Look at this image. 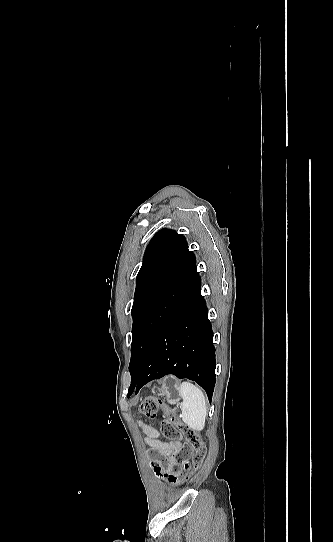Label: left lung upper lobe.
Listing matches in <instances>:
<instances>
[{
    "label": "left lung upper lobe",
    "mask_w": 333,
    "mask_h": 542,
    "mask_svg": "<svg viewBox=\"0 0 333 542\" xmlns=\"http://www.w3.org/2000/svg\"><path fill=\"white\" fill-rule=\"evenodd\" d=\"M199 278L195 255L189 251L185 237L171 229L158 231L146 248L136 279L131 378L139 373L158 331Z\"/></svg>",
    "instance_id": "1"
}]
</instances>
